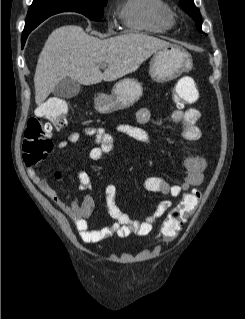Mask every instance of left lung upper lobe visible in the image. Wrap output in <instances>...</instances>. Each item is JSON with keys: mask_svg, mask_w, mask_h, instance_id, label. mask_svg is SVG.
I'll return each mask as SVG.
<instances>
[{"mask_svg": "<svg viewBox=\"0 0 245 319\" xmlns=\"http://www.w3.org/2000/svg\"><path fill=\"white\" fill-rule=\"evenodd\" d=\"M181 5L187 14L193 18L196 23L197 29L202 33L201 29V14L198 8L195 7L193 0H180Z\"/></svg>", "mask_w": 245, "mask_h": 319, "instance_id": "left-lung-upper-lobe-1", "label": "left lung upper lobe"}]
</instances>
